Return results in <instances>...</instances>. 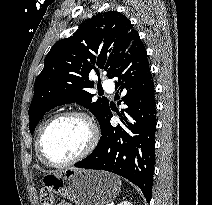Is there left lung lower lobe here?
Segmentation results:
<instances>
[{
    "label": "left lung lower lobe",
    "mask_w": 212,
    "mask_h": 205,
    "mask_svg": "<svg viewBox=\"0 0 212 205\" xmlns=\"http://www.w3.org/2000/svg\"><path fill=\"white\" fill-rule=\"evenodd\" d=\"M147 57L138 35L111 77L117 79V93L124 94L122 102L127 105L117 112L121 125L110 124L109 107L100 123L102 136L97 147L75 167L118 174L137 185L150 202L157 122L154 82Z\"/></svg>",
    "instance_id": "1"
}]
</instances>
